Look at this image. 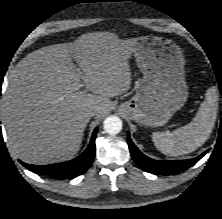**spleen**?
Segmentation results:
<instances>
[{
	"label": "spleen",
	"mask_w": 222,
	"mask_h": 219,
	"mask_svg": "<svg viewBox=\"0 0 222 219\" xmlns=\"http://www.w3.org/2000/svg\"><path fill=\"white\" fill-rule=\"evenodd\" d=\"M217 89L211 87L206 92L205 101L194 119L187 125L172 132H153L152 140L156 148L169 156H180L195 151L209 138L217 117Z\"/></svg>",
	"instance_id": "1"
}]
</instances>
